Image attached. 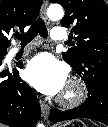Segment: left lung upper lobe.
Returning a JSON list of instances; mask_svg holds the SVG:
<instances>
[{
	"label": "left lung upper lobe",
	"mask_w": 108,
	"mask_h": 127,
	"mask_svg": "<svg viewBox=\"0 0 108 127\" xmlns=\"http://www.w3.org/2000/svg\"><path fill=\"white\" fill-rule=\"evenodd\" d=\"M61 4L65 16L63 27H72L77 41L62 53L63 59L78 73L86 85L99 78L100 72L108 81V5L103 0H52Z\"/></svg>",
	"instance_id": "obj_1"
}]
</instances>
